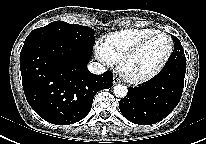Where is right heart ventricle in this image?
I'll use <instances>...</instances> for the list:
<instances>
[{
	"label": "right heart ventricle",
	"mask_w": 206,
	"mask_h": 144,
	"mask_svg": "<svg viewBox=\"0 0 206 144\" xmlns=\"http://www.w3.org/2000/svg\"><path fill=\"white\" fill-rule=\"evenodd\" d=\"M155 31L153 28L125 29L106 35L100 44L110 60L117 63L132 46Z\"/></svg>",
	"instance_id": "e07e8e85"
}]
</instances>
